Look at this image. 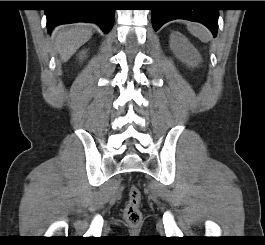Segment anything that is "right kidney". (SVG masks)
<instances>
[{
	"label": "right kidney",
	"mask_w": 265,
	"mask_h": 245,
	"mask_svg": "<svg viewBox=\"0 0 265 245\" xmlns=\"http://www.w3.org/2000/svg\"><path fill=\"white\" fill-rule=\"evenodd\" d=\"M84 57H86V52H85V51H82V52L79 54V59H83Z\"/></svg>",
	"instance_id": "ca27d5eb"
}]
</instances>
